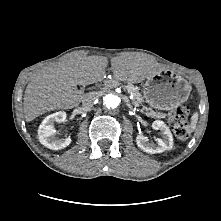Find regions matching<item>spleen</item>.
Here are the masks:
<instances>
[{"label": "spleen", "instance_id": "3e777b00", "mask_svg": "<svg viewBox=\"0 0 221 221\" xmlns=\"http://www.w3.org/2000/svg\"><path fill=\"white\" fill-rule=\"evenodd\" d=\"M197 120H198V114L194 113L191 117V124H190V128L192 131L195 130L196 128Z\"/></svg>", "mask_w": 221, "mask_h": 221}]
</instances>
